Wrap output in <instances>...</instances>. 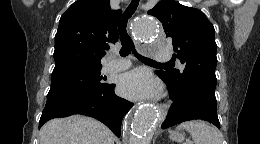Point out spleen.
Returning a JSON list of instances; mask_svg holds the SVG:
<instances>
[{
	"mask_svg": "<svg viewBox=\"0 0 260 144\" xmlns=\"http://www.w3.org/2000/svg\"><path fill=\"white\" fill-rule=\"evenodd\" d=\"M178 129H185L191 134L193 144H222L220 133L208 123L193 120L181 123Z\"/></svg>",
	"mask_w": 260,
	"mask_h": 144,
	"instance_id": "spleen-1",
	"label": "spleen"
}]
</instances>
